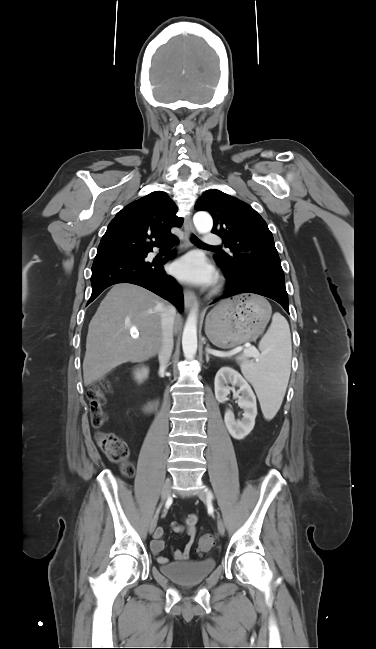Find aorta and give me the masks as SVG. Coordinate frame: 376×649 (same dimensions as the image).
I'll return each instance as SVG.
<instances>
[{"label":"aorta","mask_w":376,"mask_h":649,"mask_svg":"<svg viewBox=\"0 0 376 649\" xmlns=\"http://www.w3.org/2000/svg\"><path fill=\"white\" fill-rule=\"evenodd\" d=\"M194 225L199 233H207L213 227V220L209 213L200 211L193 217ZM182 349L187 360H193L197 353V309H193L186 320L183 335Z\"/></svg>","instance_id":"aorta-1"}]
</instances>
